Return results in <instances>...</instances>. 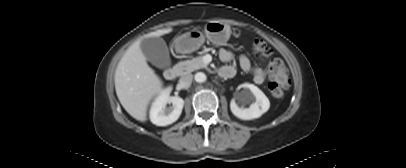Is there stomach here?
Returning a JSON list of instances; mask_svg holds the SVG:
<instances>
[{
    "instance_id": "stomach-1",
    "label": "stomach",
    "mask_w": 406,
    "mask_h": 168,
    "mask_svg": "<svg viewBox=\"0 0 406 168\" xmlns=\"http://www.w3.org/2000/svg\"><path fill=\"white\" fill-rule=\"evenodd\" d=\"M231 29L228 24L219 21H210L204 27V33L199 30H191L182 34L175 43V49L179 53H191L198 50L205 42V38L216 45H221L230 38Z\"/></svg>"
}]
</instances>
